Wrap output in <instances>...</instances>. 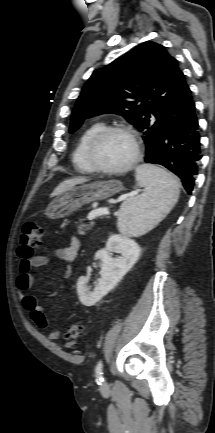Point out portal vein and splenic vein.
<instances>
[{
    "label": "portal vein and splenic vein",
    "mask_w": 215,
    "mask_h": 433,
    "mask_svg": "<svg viewBox=\"0 0 215 433\" xmlns=\"http://www.w3.org/2000/svg\"><path fill=\"white\" fill-rule=\"evenodd\" d=\"M137 194H138L137 191H132L129 194H127V196H134ZM109 214H110V212H109L108 208H98V209L93 210L92 212H90L88 214V220H94L98 216H104V215H109Z\"/></svg>",
    "instance_id": "obj_1"
}]
</instances>
